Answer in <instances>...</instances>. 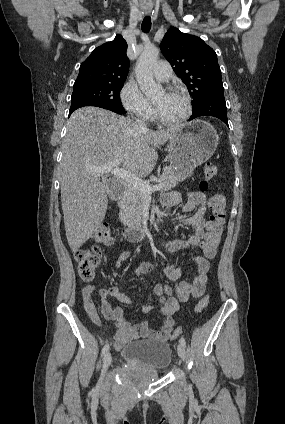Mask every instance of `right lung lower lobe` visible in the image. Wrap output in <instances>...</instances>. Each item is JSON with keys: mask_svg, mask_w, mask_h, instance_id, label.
Here are the masks:
<instances>
[{"mask_svg": "<svg viewBox=\"0 0 285 424\" xmlns=\"http://www.w3.org/2000/svg\"><path fill=\"white\" fill-rule=\"evenodd\" d=\"M84 106L100 107V108L111 110V111L118 113V114L126 113V111H124V110L115 109V108H112V107L107 106V105H102V104H98V103H94V102H88V101H76V102L71 103L69 115H71L72 112L75 111L76 109H78L80 107H84Z\"/></svg>", "mask_w": 285, "mask_h": 424, "instance_id": "obj_1", "label": "right lung lower lobe"}]
</instances>
